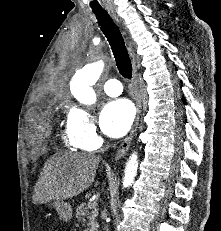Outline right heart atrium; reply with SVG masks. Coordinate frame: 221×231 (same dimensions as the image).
Masks as SVG:
<instances>
[{
	"mask_svg": "<svg viewBox=\"0 0 221 231\" xmlns=\"http://www.w3.org/2000/svg\"><path fill=\"white\" fill-rule=\"evenodd\" d=\"M68 127L80 148L91 150L98 146L100 137L95 120L86 108L75 106L70 110Z\"/></svg>",
	"mask_w": 221,
	"mask_h": 231,
	"instance_id": "d8ad5b80",
	"label": "right heart atrium"
}]
</instances>
